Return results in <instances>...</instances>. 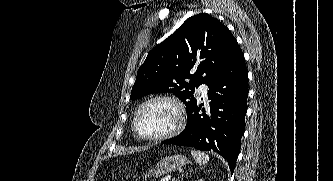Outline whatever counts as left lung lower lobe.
Listing matches in <instances>:
<instances>
[{
	"label": "left lung lower lobe",
	"mask_w": 333,
	"mask_h": 181,
	"mask_svg": "<svg viewBox=\"0 0 333 181\" xmlns=\"http://www.w3.org/2000/svg\"><path fill=\"white\" fill-rule=\"evenodd\" d=\"M206 84L210 89V114L198 103L187 113L184 131L162 144L215 151L227 160L233 172L244 133L248 97L247 69L240 48Z\"/></svg>",
	"instance_id": "left-lung-lower-lobe-1"
}]
</instances>
